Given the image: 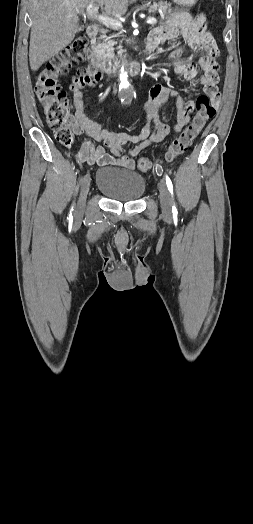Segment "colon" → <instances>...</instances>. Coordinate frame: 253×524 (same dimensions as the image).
I'll use <instances>...</instances> for the list:
<instances>
[{
  "label": "colon",
  "mask_w": 253,
  "mask_h": 524,
  "mask_svg": "<svg viewBox=\"0 0 253 524\" xmlns=\"http://www.w3.org/2000/svg\"><path fill=\"white\" fill-rule=\"evenodd\" d=\"M88 44L86 36L76 37L56 56L46 62L34 78L35 93L48 127L54 132L57 141L63 147H71L74 144L75 131L74 122L70 117L71 107L67 92L58 83V78L85 59ZM89 67L77 69L76 75L68 83L69 94L78 97L84 93V90H91L93 86L100 84V79L104 75L103 70L95 68L94 62H91ZM195 108L196 114L191 123L169 145L164 156L167 162L183 155L206 123L215 115V109L206 95L196 100ZM151 167L152 163L148 159H139V170L147 171Z\"/></svg>",
  "instance_id": "1"
}]
</instances>
